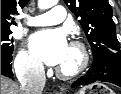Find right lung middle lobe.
Wrapping results in <instances>:
<instances>
[{
	"instance_id": "dd1d6c3e",
	"label": "right lung middle lobe",
	"mask_w": 121,
	"mask_h": 94,
	"mask_svg": "<svg viewBox=\"0 0 121 94\" xmlns=\"http://www.w3.org/2000/svg\"><path fill=\"white\" fill-rule=\"evenodd\" d=\"M10 29L1 30V55H12L14 46L11 44L13 39L10 37Z\"/></svg>"
}]
</instances>
